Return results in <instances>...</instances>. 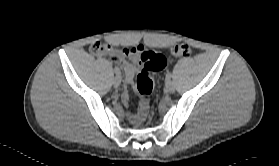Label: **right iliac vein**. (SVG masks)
<instances>
[{
	"instance_id": "right-iliac-vein-1",
	"label": "right iliac vein",
	"mask_w": 279,
	"mask_h": 166,
	"mask_svg": "<svg viewBox=\"0 0 279 166\" xmlns=\"http://www.w3.org/2000/svg\"><path fill=\"white\" fill-rule=\"evenodd\" d=\"M121 83V77L119 75L115 76L113 80V85L115 88H118Z\"/></svg>"
}]
</instances>
